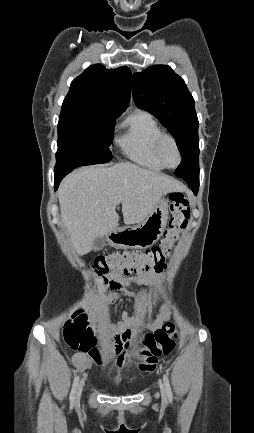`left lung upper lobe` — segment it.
Segmentation results:
<instances>
[{
  "instance_id": "obj_1",
  "label": "left lung upper lobe",
  "mask_w": 254,
  "mask_h": 433,
  "mask_svg": "<svg viewBox=\"0 0 254 433\" xmlns=\"http://www.w3.org/2000/svg\"><path fill=\"white\" fill-rule=\"evenodd\" d=\"M136 105L153 114L175 137L182 161L175 175L199 180L198 118L184 80L166 65H154L132 78Z\"/></svg>"
}]
</instances>
